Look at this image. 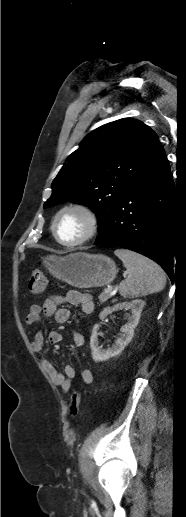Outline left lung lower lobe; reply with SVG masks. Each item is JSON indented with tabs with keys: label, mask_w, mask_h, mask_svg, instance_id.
Wrapping results in <instances>:
<instances>
[{
	"label": "left lung lower lobe",
	"mask_w": 186,
	"mask_h": 517,
	"mask_svg": "<svg viewBox=\"0 0 186 517\" xmlns=\"http://www.w3.org/2000/svg\"><path fill=\"white\" fill-rule=\"evenodd\" d=\"M174 193L172 174L161 147L114 208L95 245L118 246L145 255L173 281Z\"/></svg>",
	"instance_id": "1"
}]
</instances>
